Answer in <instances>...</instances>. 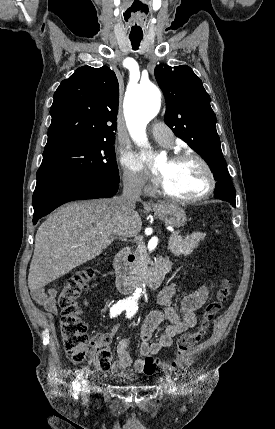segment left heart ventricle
Returning <instances> with one entry per match:
<instances>
[{"mask_svg": "<svg viewBox=\"0 0 275 429\" xmlns=\"http://www.w3.org/2000/svg\"><path fill=\"white\" fill-rule=\"evenodd\" d=\"M157 172L162 178L161 185L171 194L179 197H194L207 188V176L203 167L195 160L162 162Z\"/></svg>", "mask_w": 275, "mask_h": 429, "instance_id": "obj_1", "label": "left heart ventricle"}]
</instances>
